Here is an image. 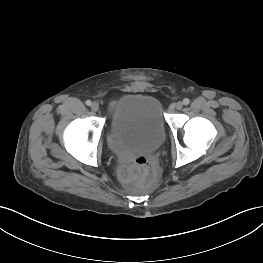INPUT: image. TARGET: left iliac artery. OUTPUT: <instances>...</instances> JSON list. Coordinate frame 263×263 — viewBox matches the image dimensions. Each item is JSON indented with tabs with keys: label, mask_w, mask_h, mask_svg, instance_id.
<instances>
[{
	"label": "left iliac artery",
	"mask_w": 263,
	"mask_h": 263,
	"mask_svg": "<svg viewBox=\"0 0 263 263\" xmlns=\"http://www.w3.org/2000/svg\"><path fill=\"white\" fill-rule=\"evenodd\" d=\"M190 103V100L188 99V98H185L184 100H183V104L184 105H188Z\"/></svg>",
	"instance_id": "1"
}]
</instances>
